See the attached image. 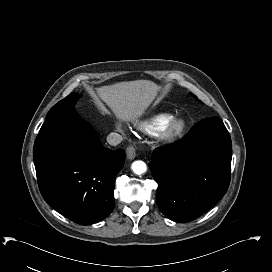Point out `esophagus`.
<instances>
[{
	"mask_svg": "<svg viewBox=\"0 0 272 272\" xmlns=\"http://www.w3.org/2000/svg\"><path fill=\"white\" fill-rule=\"evenodd\" d=\"M126 156L128 159L132 160L136 157V152H135V148L133 145H129L126 148Z\"/></svg>",
	"mask_w": 272,
	"mask_h": 272,
	"instance_id": "1",
	"label": "esophagus"
}]
</instances>
